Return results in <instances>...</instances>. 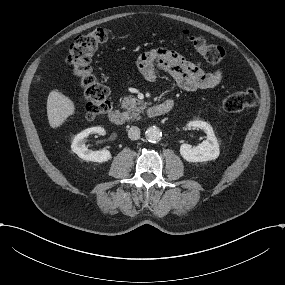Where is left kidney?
Segmentation results:
<instances>
[{
	"label": "left kidney",
	"instance_id": "left-kidney-1",
	"mask_svg": "<svg viewBox=\"0 0 285 285\" xmlns=\"http://www.w3.org/2000/svg\"><path fill=\"white\" fill-rule=\"evenodd\" d=\"M193 124L207 134V139L195 147L186 143L182 144L180 146L181 156L188 162L215 160L219 156L220 151L212 126L204 121H194Z\"/></svg>",
	"mask_w": 285,
	"mask_h": 285
}]
</instances>
